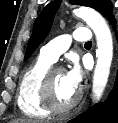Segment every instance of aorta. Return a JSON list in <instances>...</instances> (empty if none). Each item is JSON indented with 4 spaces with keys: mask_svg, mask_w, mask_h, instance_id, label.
Wrapping results in <instances>:
<instances>
[{
    "mask_svg": "<svg viewBox=\"0 0 118 123\" xmlns=\"http://www.w3.org/2000/svg\"><path fill=\"white\" fill-rule=\"evenodd\" d=\"M74 14L83 19L93 30L97 42V62L94 70L92 96L98 101L106 88L113 58V40L110 28L103 16L94 9L80 7Z\"/></svg>",
    "mask_w": 118,
    "mask_h": 123,
    "instance_id": "762f6f07",
    "label": "aorta"
}]
</instances>
